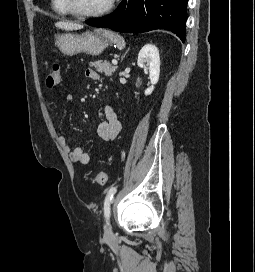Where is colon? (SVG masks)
Here are the masks:
<instances>
[{
  "label": "colon",
  "mask_w": 255,
  "mask_h": 272,
  "mask_svg": "<svg viewBox=\"0 0 255 272\" xmlns=\"http://www.w3.org/2000/svg\"><path fill=\"white\" fill-rule=\"evenodd\" d=\"M61 81H62V76H61L60 65L57 63L52 64L49 67L48 73L46 76V80H45L46 87L49 89H54L61 84ZM107 180L108 178L105 172H99L95 177V182L98 185L106 184Z\"/></svg>",
  "instance_id": "5ec220e1"
}]
</instances>
